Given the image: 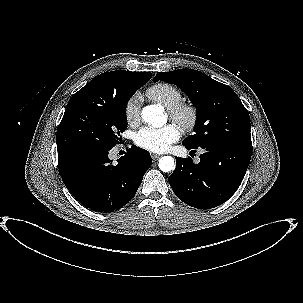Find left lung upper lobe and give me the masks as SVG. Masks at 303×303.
<instances>
[{"label": "left lung upper lobe", "mask_w": 303, "mask_h": 303, "mask_svg": "<svg viewBox=\"0 0 303 303\" xmlns=\"http://www.w3.org/2000/svg\"><path fill=\"white\" fill-rule=\"evenodd\" d=\"M159 80L177 85L197 108L195 134L184 145L198 148L217 140L251 141L249 113L231 87L193 69L158 72L153 81Z\"/></svg>", "instance_id": "1"}]
</instances>
